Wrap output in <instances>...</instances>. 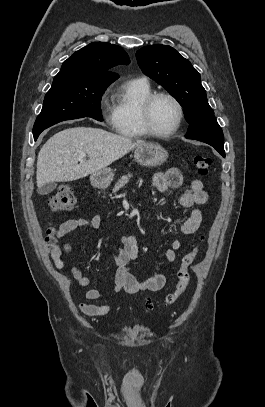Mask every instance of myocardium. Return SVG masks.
<instances>
[{"label": "myocardium", "instance_id": "myocardium-1", "mask_svg": "<svg viewBox=\"0 0 265 407\" xmlns=\"http://www.w3.org/2000/svg\"><path fill=\"white\" fill-rule=\"evenodd\" d=\"M159 97H168L170 98L176 105L178 109V119L174 127L168 131L161 132L158 131L154 128L152 124V118H151V111H152V106L155 102V100ZM184 107L181 101L172 93L168 91H157L151 93L142 103L141 108H140V119L142 126L146 130V132L154 137L158 138H167L172 135H174L181 127L182 122L184 120Z\"/></svg>", "mask_w": 265, "mask_h": 407}]
</instances>
